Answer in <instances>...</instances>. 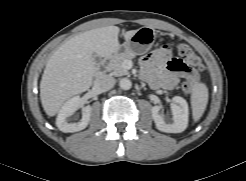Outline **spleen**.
<instances>
[{
	"label": "spleen",
	"mask_w": 246,
	"mask_h": 181,
	"mask_svg": "<svg viewBox=\"0 0 246 181\" xmlns=\"http://www.w3.org/2000/svg\"><path fill=\"white\" fill-rule=\"evenodd\" d=\"M208 98L207 86L202 82L195 83L191 92V108L194 121H198L202 117L208 103Z\"/></svg>",
	"instance_id": "obj_1"
}]
</instances>
